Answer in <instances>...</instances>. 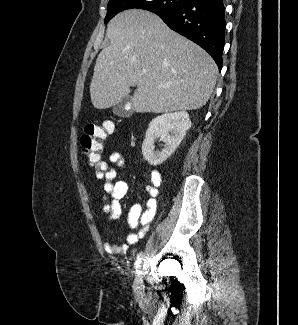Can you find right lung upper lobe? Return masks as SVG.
Returning a JSON list of instances; mask_svg holds the SVG:
<instances>
[{"label":"right lung upper lobe","instance_id":"1","mask_svg":"<svg viewBox=\"0 0 298 325\" xmlns=\"http://www.w3.org/2000/svg\"><path fill=\"white\" fill-rule=\"evenodd\" d=\"M109 1H112V0H109ZM159 12H161V11L158 10V11H156V12H154V13H159Z\"/></svg>","mask_w":298,"mask_h":325}]
</instances>
